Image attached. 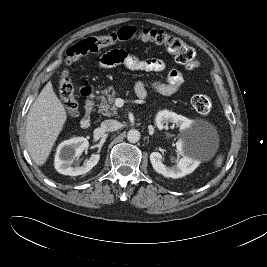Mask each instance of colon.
Instances as JSON below:
<instances>
[{
    "label": "colon",
    "mask_w": 267,
    "mask_h": 267,
    "mask_svg": "<svg viewBox=\"0 0 267 267\" xmlns=\"http://www.w3.org/2000/svg\"><path fill=\"white\" fill-rule=\"evenodd\" d=\"M138 40L144 43L154 44L167 50L174 56L176 61L188 70L197 67V60L194 49L179 38L173 37L164 31L155 29H146L137 31L134 27L125 26L114 33L108 35L87 37L70 46L66 51L65 64L72 65L81 56L88 53L98 52L100 49L109 45ZM59 95L70 117H76L78 114V103L75 98L74 87L69 75V71L65 68L59 80ZM193 108L201 114H207L212 108V101L205 94H197L191 100Z\"/></svg>",
    "instance_id": "5ec220e1"
}]
</instances>
